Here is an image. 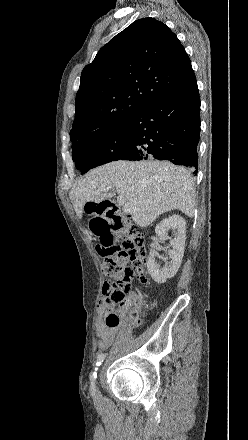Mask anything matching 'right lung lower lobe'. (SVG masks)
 <instances>
[{"instance_id":"98d812e1","label":"right lung lower lobe","mask_w":248,"mask_h":440,"mask_svg":"<svg viewBox=\"0 0 248 440\" xmlns=\"http://www.w3.org/2000/svg\"><path fill=\"white\" fill-rule=\"evenodd\" d=\"M199 114L197 83L149 102L129 120L128 149L118 160H169L197 174Z\"/></svg>"}]
</instances>
